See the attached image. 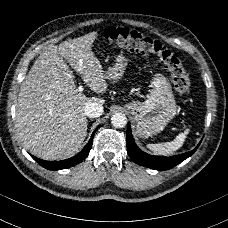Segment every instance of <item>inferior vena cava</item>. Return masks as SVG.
I'll list each match as a JSON object with an SVG mask.
<instances>
[{
    "label": "inferior vena cava",
    "mask_w": 228,
    "mask_h": 228,
    "mask_svg": "<svg viewBox=\"0 0 228 228\" xmlns=\"http://www.w3.org/2000/svg\"><path fill=\"white\" fill-rule=\"evenodd\" d=\"M103 113V106L93 100H88L85 104L84 114L89 118H96Z\"/></svg>",
    "instance_id": "602c4592"
}]
</instances>
